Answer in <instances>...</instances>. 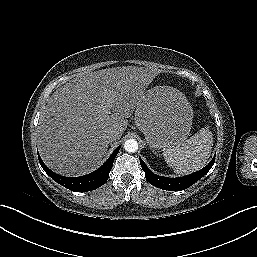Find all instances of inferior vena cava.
I'll return each mask as SVG.
<instances>
[{"label": "inferior vena cava", "instance_id": "602c4592", "mask_svg": "<svg viewBox=\"0 0 257 257\" xmlns=\"http://www.w3.org/2000/svg\"><path fill=\"white\" fill-rule=\"evenodd\" d=\"M104 137L109 141H113L117 139V134L114 131H108L104 134Z\"/></svg>", "mask_w": 257, "mask_h": 257}]
</instances>
